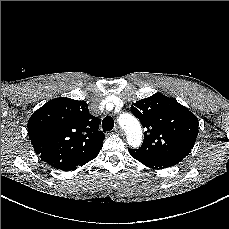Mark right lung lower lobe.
<instances>
[{
	"instance_id": "98d812e1",
	"label": "right lung lower lobe",
	"mask_w": 229,
	"mask_h": 229,
	"mask_svg": "<svg viewBox=\"0 0 229 229\" xmlns=\"http://www.w3.org/2000/svg\"><path fill=\"white\" fill-rule=\"evenodd\" d=\"M96 156H97V155H96ZM96 156H95V157H96ZM95 157H93V158H91V159H89V160H85V161L81 162L80 164H78L77 166H75V167H73V168H71V169H69V170H66V171L75 170V169H77L79 166H82V165L86 164L87 162H89L90 160L94 159Z\"/></svg>"
}]
</instances>
